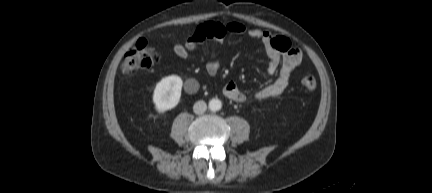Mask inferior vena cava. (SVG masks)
Segmentation results:
<instances>
[{
	"label": "inferior vena cava",
	"mask_w": 432,
	"mask_h": 193,
	"mask_svg": "<svg viewBox=\"0 0 432 193\" xmlns=\"http://www.w3.org/2000/svg\"><path fill=\"white\" fill-rule=\"evenodd\" d=\"M207 110V104L205 101H197L193 106V111L195 114H202Z\"/></svg>",
	"instance_id": "inferior-vena-cava-1"
}]
</instances>
